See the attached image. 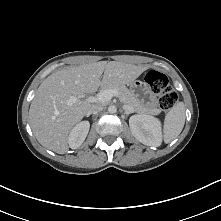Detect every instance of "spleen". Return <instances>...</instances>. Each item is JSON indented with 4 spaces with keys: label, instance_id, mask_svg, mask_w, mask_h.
I'll use <instances>...</instances> for the list:
<instances>
[{
    "label": "spleen",
    "instance_id": "1",
    "mask_svg": "<svg viewBox=\"0 0 221 221\" xmlns=\"http://www.w3.org/2000/svg\"><path fill=\"white\" fill-rule=\"evenodd\" d=\"M185 124V105L177 102L166 114L164 120V141L170 143L182 131Z\"/></svg>",
    "mask_w": 221,
    "mask_h": 221
}]
</instances>
